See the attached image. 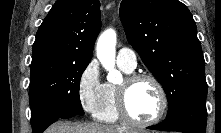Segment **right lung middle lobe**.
Instances as JSON below:
<instances>
[{"label": "right lung middle lobe", "mask_w": 221, "mask_h": 133, "mask_svg": "<svg viewBox=\"0 0 221 133\" xmlns=\"http://www.w3.org/2000/svg\"><path fill=\"white\" fill-rule=\"evenodd\" d=\"M88 64H65L31 74V116L41 113L63 115L70 111L83 115L79 87L82 73Z\"/></svg>", "instance_id": "1"}]
</instances>
